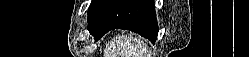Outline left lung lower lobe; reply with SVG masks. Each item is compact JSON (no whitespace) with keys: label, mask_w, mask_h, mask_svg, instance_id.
<instances>
[{"label":"left lung lower lobe","mask_w":249,"mask_h":57,"mask_svg":"<svg viewBox=\"0 0 249 57\" xmlns=\"http://www.w3.org/2000/svg\"><path fill=\"white\" fill-rule=\"evenodd\" d=\"M88 22L96 40L116 28L139 33L152 43L158 35L154 0H107Z\"/></svg>","instance_id":"0a47b994"}]
</instances>
